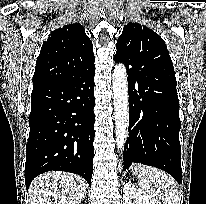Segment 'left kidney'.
Returning <instances> with one entry per match:
<instances>
[{"label": "left kidney", "mask_w": 206, "mask_h": 204, "mask_svg": "<svg viewBox=\"0 0 206 204\" xmlns=\"http://www.w3.org/2000/svg\"><path fill=\"white\" fill-rule=\"evenodd\" d=\"M123 204H155V202L134 184L128 182L123 188Z\"/></svg>", "instance_id": "left-kidney-1"}]
</instances>
